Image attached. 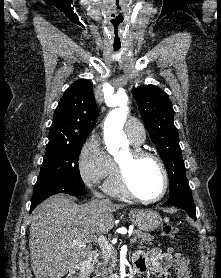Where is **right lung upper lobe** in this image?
Returning <instances> with one entry per match:
<instances>
[{
  "label": "right lung upper lobe",
  "mask_w": 221,
  "mask_h": 278,
  "mask_svg": "<svg viewBox=\"0 0 221 278\" xmlns=\"http://www.w3.org/2000/svg\"><path fill=\"white\" fill-rule=\"evenodd\" d=\"M98 115L91 82L85 79L76 81L66 90L54 112L48 144L87 137Z\"/></svg>",
  "instance_id": "cb5924a9"
}]
</instances>
